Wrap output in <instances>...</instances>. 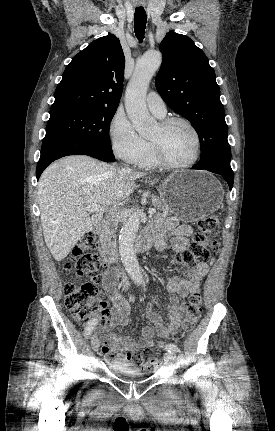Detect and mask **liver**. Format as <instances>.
I'll list each match as a JSON object with an SVG mask.
<instances>
[{"label": "liver", "mask_w": 275, "mask_h": 431, "mask_svg": "<svg viewBox=\"0 0 275 431\" xmlns=\"http://www.w3.org/2000/svg\"><path fill=\"white\" fill-rule=\"evenodd\" d=\"M144 173L118 169L85 155L51 164L38 182V204L45 243L55 260H63L75 244L102 219L85 207L106 210L127 198Z\"/></svg>", "instance_id": "liver-1"}]
</instances>
